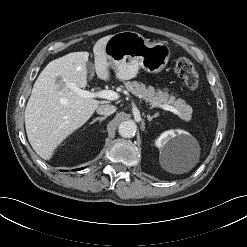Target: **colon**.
Returning a JSON list of instances; mask_svg holds the SVG:
<instances>
[{"instance_id": "1", "label": "colon", "mask_w": 247, "mask_h": 247, "mask_svg": "<svg viewBox=\"0 0 247 247\" xmlns=\"http://www.w3.org/2000/svg\"><path fill=\"white\" fill-rule=\"evenodd\" d=\"M175 71L188 89L196 90L198 88L199 75L189 59L178 58L175 62Z\"/></svg>"}]
</instances>
